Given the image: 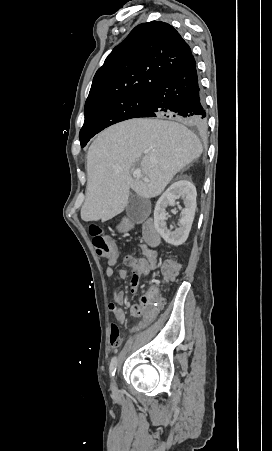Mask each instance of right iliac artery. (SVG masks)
<instances>
[{
    "label": "right iliac artery",
    "instance_id": "82829eb1",
    "mask_svg": "<svg viewBox=\"0 0 272 451\" xmlns=\"http://www.w3.org/2000/svg\"><path fill=\"white\" fill-rule=\"evenodd\" d=\"M116 367H117V358L113 357L112 360H111V363H110V368H109L110 369V375L112 377L115 376Z\"/></svg>",
    "mask_w": 272,
    "mask_h": 451
}]
</instances>
